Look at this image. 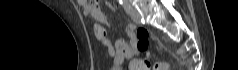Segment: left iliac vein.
<instances>
[{
	"instance_id": "obj_1",
	"label": "left iliac vein",
	"mask_w": 238,
	"mask_h": 70,
	"mask_svg": "<svg viewBox=\"0 0 238 70\" xmlns=\"http://www.w3.org/2000/svg\"><path fill=\"white\" fill-rule=\"evenodd\" d=\"M129 12H130V16H131V19L135 22V23H140V14L139 12L137 11L136 8L132 7V6H129Z\"/></svg>"
}]
</instances>
